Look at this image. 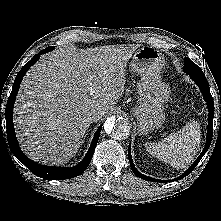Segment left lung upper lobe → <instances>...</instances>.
<instances>
[{"mask_svg": "<svg viewBox=\"0 0 221 221\" xmlns=\"http://www.w3.org/2000/svg\"><path fill=\"white\" fill-rule=\"evenodd\" d=\"M183 71L187 74L195 73V74H202L203 71L197 66L193 61L189 58L185 57V64L183 67Z\"/></svg>", "mask_w": 221, "mask_h": 221, "instance_id": "obj_1", "label": "left lung upper lobe"}]
</instances>
